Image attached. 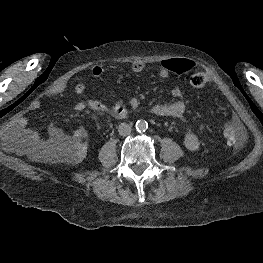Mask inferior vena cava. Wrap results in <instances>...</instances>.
<instances>
[{
	"instance_id": "inferior-vena-cava-1",
	"label": "inferior vena cava",
	"mask_w": 263,
	"mask_h": 263,
	"mask_svg": "<svg viewBox=\"0 0 263 263\" xmlns=\"http://www.w3.org/2000/svg\"><path fill=\"white\" fill-rule=\"evenodd\" d=\"M132 131V128L129 124L127 123H121L119 126H118V132L121 136H127L131 133Z\"/></svg>"
}]
</instances>
